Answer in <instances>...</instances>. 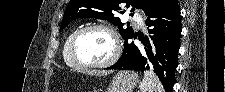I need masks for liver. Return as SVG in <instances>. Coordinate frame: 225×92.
I'll return each mask as SVG.
<instances>
[{
    "label": "liver",
    "instance_id": "1",
    "mask_svg": "<svg viewBox=\"0 0 225 92\" xmlns=\"http://www.w3.org/2000/svg\"><path fill=\"white\" fill-rule=\"evenodd\" d=\"M112 71H105V70H85L83 73L88 74L90 76H106L107 74L111 73Z\"/></svg>",
    "mask_w": 225,
    "mask_h": 92
}]
</instances>
